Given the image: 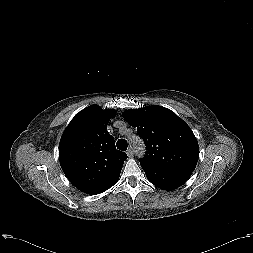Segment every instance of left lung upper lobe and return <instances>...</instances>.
Segmentation results:
<instances>
[{
	"label": "left lung upper lobe",
	"instance_id": "1",
	"mask_svg": "<svg viewBox=\"0 0 253 253\" xmlns=\"http://www.w3.org/2000/svg\"><path fill=\"white\" fill-rule=\"evenodd\" d=\"M123 118L137 128L146 155L140 165L193 172L199 157L196 137L189 126L171 110L145 106L123 112Z\"/></svg>",
	"mask_w": 253,
	"mask_h": 253
}]
</instances>
